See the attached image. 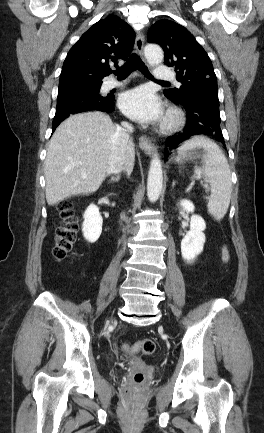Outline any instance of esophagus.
I'll return each mask as SVG.
<instances>
[{"label":"esophagus","mask_w":264,"mask_h":433,"mask_svg":"<svg viewBox=\"0 0 264 433\" xmlns=\"http://www.w3.org/2000/svg\"><path fill=\"white\" fill-rule=\"evenodd\" d=\"M143 47H144V36L138 32L136 39H135V50L137 52V54L142 55L143 54ZM139 147L146 153V154H151L154 149V143L152 141V139H150L149 137L146 136H141L139 138Z\"/></svg>","instance_id":"34e87169"}]
</instances>
